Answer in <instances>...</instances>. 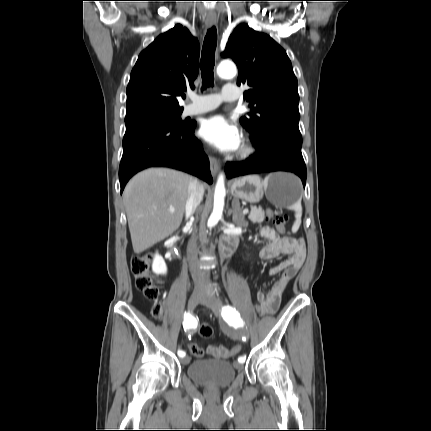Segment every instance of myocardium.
I'll return each instance as SVG.
<instances>
[{
  "label": "myocardium",
  "instance_id": "1",
  "mask_svg": "<svg viewBox=\"0 0 431 431\" xmlns=\"http://www.w3.org/2000/svg\"><path fill=\"white\" fill-rule=\"evenodd\" d=\"M255 149L249 140H245L242 143L241 148L238 151L237 157L240 159H246L254 153Z\"/></svg>",
  "mask_w": 431,
  "mask_h": 431
}]
</instances>
